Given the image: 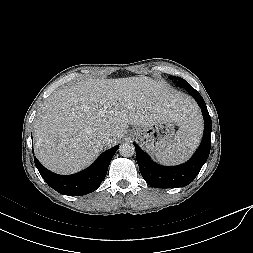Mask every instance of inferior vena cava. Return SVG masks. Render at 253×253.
Returning <instances> with one entry per match:
<instances>
[{
	"instance_id": "602c4592",
	"label": "inferior vena cava",
	"mask_w": 253,
	"mask_h": 253,
	"mask_svg": "<svg viewBox=\"0 0 253 253\" xmlns=\"http://www.w3.org/2000/svg\"><path fill=\"white\" fill-rule=\"evenodd\" d=\"M99 139L102 144H106L111 140V134L109 132H102L99 135Z\"/></svg>"
}]
</instances>
